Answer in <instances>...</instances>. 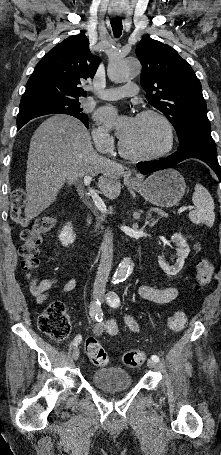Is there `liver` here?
I'll return each mask as SVG.
<instances>
[{
	"label": "liver",
	"instance_id": "6515ba94",
	"mask_svg": "<svg viewBox=\"0 0 221 455\" xmlns=\"http://www.w3.org/2000/svg\"><path fill=\"white\" fill-rule=\"evenodd\" d=\"M125 168L94 151L90 132L83 123L65 114L46 119L34 132L26 171L27 203L24 214L31 220L48 208L60 189L82 177H99L97 186L109 199L120 195Z\"/></svg>",
	"mask_w": 221,
	"mask_h": 455
}]
</instances>
